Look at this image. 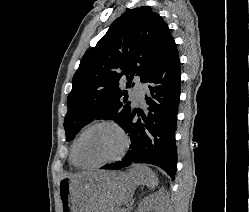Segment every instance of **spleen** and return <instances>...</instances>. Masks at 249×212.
Listing matches in <instances>:
<instances>
[{
  "label": "spleen",
  "instance_id": "obj_1",
  "mask_svg": "<svg viewBox=\"0 0 249 212\" xmlns=\"http://www.w3.org/2000/svg\"><path fill=\"white\" fill-rule=\"evenodd\" d=\"M147 172V178H146V182L145 184H147V186H149V188H155L157 182H156V178H155V174H152L151 170H149V168H146ZM149 174H151V176H149Z\"/></svg>",
  "mask_w": 249,
  "mask_h": 212
}]
</instances>
